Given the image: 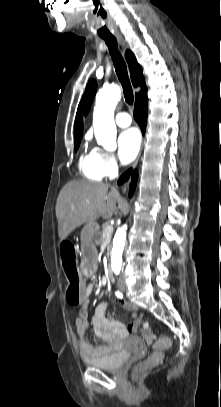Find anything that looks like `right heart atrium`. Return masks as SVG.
I'll return each instance as SVG.
<instances>
[{"label":"right heart atrium","instance_id":"1","mask_svg":"<svg viewBox=\"0 0 221 407\" xmlns=\"http://www.w3.org/2000/svg\"><path fill=\"white\" fill-rule=\"evenodd\" d=\"M93 152L96 156L98 167L105 177H110L117 173L118 162L112 153L99 148H95Z\"/></svg>","mask_w":221,"mask_h":407}]
</instances>
